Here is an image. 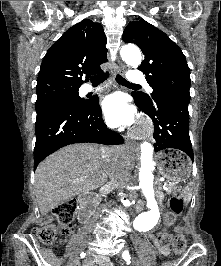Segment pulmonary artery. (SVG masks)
Instances as JSON below:
<instances>
[{"label":"pulmonary artery","instance_id":"pulmonary-artery-1","mask_svg":"<svg viewBox=\"0 0 221 266\" xmlns=\"http://www.w3.org/2000/svg\"><path fill=\"white\" fill-rule=\"evenodd\" d=\"M129 79L133 83H140V82L144 81L145 77H144V74L142 72L134 71V72L129 74ZM148 89H149V91H152V89L150 87H148Z\"/></svg>","mask_w":221,"mask_h":266}]
</instances>
